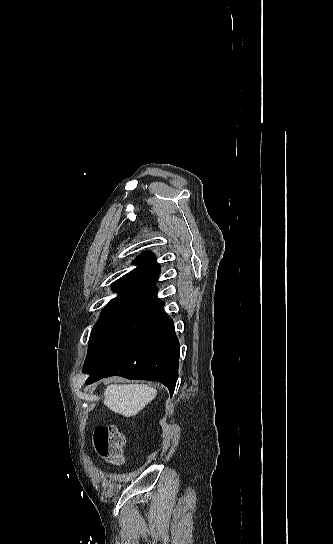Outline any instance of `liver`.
Listing matches in <instances>:
<instances>
[{
	"label": "liver",
	"mask_w": 333,
	"mask_h": 544,
	"mask_svg": "<svg viewBox=\"0 0 333 544\" xmlns=\"http://www.w3.org/2000/svg\"><path fill=\"white\" fill-rule=\"evenodd\" d=\"M156 390L144 384L109 385L104 392V405L125 417L136 415L156 395Z\"/></svg>",
	"instance_id": "6515ba94"
}]
</instances>
